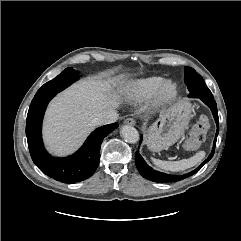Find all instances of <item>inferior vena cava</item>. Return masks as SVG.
Wrapping results in <instances>:
<instances>
[{
    "label": "inferior vena cava",
    "mask_w": 241,
    "mask_h": 241,
    "mask_svg": "<svg viewBox=\"0 0 241 241\" xmlns=\"http://www.w3.org/2000/svg\"><path fill=\"white\" fill-rule=\"evenodd\" d=\"M118 114L114 110L105 111L93 119L96 126L111 124L117 121Z\"/></svg>",
    "instance_id": "obj_1"
}]
</instances>
